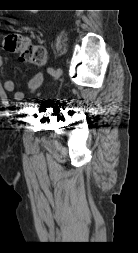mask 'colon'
Wrapping results in <instances>:
<instances>
[{
  "label": "colon",
  "mask_w": 138,
  "mask_h": 253,
  "mask_svg": "<svg viewBox=\"0 0 138 253\" xmlns=\"http://www.w3.org/2000/svg\"><path fill=\"white\" fill-rule=\"evenodd\" d=\"M4 47L8 51H20L23 62L42 64L45 61V51L41 47L31 46L23 41L20 35L12 33L5 37Z\"/></svg>",
  "instance_id": "5ec220e1"
}]
</instances>
